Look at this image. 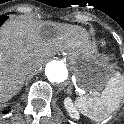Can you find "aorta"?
Returning <instances> with one entry per match:
<instances>
[{
  "label": "aorta",
  "instance_id": "aorta-1",
  "mask_svg": "<svg viewBox=\"0 0 124 124\" xmlns=\"http://www.w3.org/2000/svg\"><path fill=\"white\" fill-rule=\"evenodd\" d=\"M45 74L51 83H63L68 78L67 68L58 62L50 63L45 70Z\"/></svg>",
  "mask_w": 124,
  "mask_h": 124
}]
</instances>
